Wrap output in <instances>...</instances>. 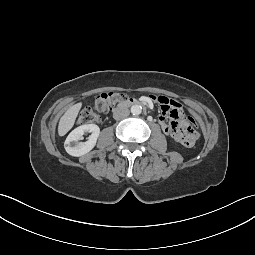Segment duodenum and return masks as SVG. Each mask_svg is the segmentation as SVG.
<instances>
[{"label":"duodenum","mask_w":255,"mask_h":255,"mask_svg":"<svg viewBox=\"0 0 255 255\" xmlns=\"http://www.w3.org/2000/svg\"><path fill=\"white\" fill-rule=\"evenodd\" d=\"M143 104L142 101L136 99V98H127L123 101H121L117 107L118 108H122V107H130V106H134V105H140Z\"/></svg>","instance_id":"duodenum-1"}]
</instances>
